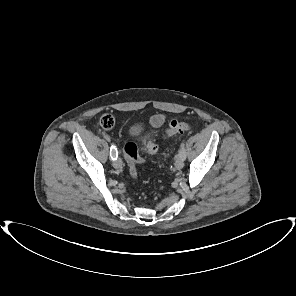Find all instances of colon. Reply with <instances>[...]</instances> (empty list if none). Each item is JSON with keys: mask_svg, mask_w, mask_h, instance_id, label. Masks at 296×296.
<instances>
[{"mask_svg": "<svg viewBox=\"0 0 296 296\" xmlns=\"http://www.w3.org/2000/svg\"><path fill=\"white\" fill-rule=\"evenodd\" d=\"M99 125L103 129H112L114 126V118L111 115H104L99 120ZM191 129V125L186 122H180L173 120L170 122L169 126L165 130L164 137H171L176 134H182ZM159 147L154 142H148L147 151L150 154H156ZM123 155L127 162L128 171L133 179H136L137 172L136 168L138 165L142 164L143 161L139 156L137 145L133 142H127L123 146Z\"/></svg>", "mask_w": 296, "mask_h": 296, "instance_id": "colon-1", "label": "colon"}]
</instances>
